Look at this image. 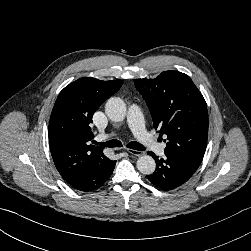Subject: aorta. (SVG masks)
I'll return each mask as SVG.
<instances>
[{
	"label": "aorta",
	"instance_id": "obj_1",
	"mask_svg": "<svg viewBox=\"0 0 251 251\" xmlns=\"http://www.w3.org/2000/svg\"><path fill=\"white\" fill-rule=\"evenodd\" d=\"M108 118L114 122H121L126 117V104L118 97H111L105 105ZM137 169L144 175H151L156 168L155 160L149 155H143L137 160Z\"/></svg>",
	"mask_w": 251,
	"mask_h": 251
}]
</instances>
